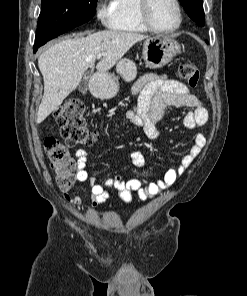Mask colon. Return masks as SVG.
<instances>
[{"instance_id":"colon-1","label":"colon","mask_w":247,"mask_h":296,"mask_svg":"<svg viewBox=\"0 0 247 296\" xmlns=\"http://www.w3.org/2000/svg\"><path fill=\"white\" fill-rule=\"evenodd\" d=\"M177 74L192 88L199 83L200 73L192 62H183L178 67ZM54 119L65 145L53 137H46L44 147L55 171L58 186L66 190L74 184L79 169L78 158L70 152L69 147L89 146L96 141L98 134L88 129L86 108L78 99H70L62 104L56 110Z\"/></svg>"}]
</instances>
